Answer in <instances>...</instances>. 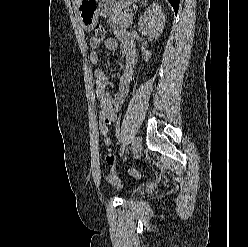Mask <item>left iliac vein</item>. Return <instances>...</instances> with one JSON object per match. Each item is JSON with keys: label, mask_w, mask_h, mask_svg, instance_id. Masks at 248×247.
Instances as JSON below:
<instances>
[{"label": "left iliac vein", "mask_w": 248, "mask_h": 247, "mask_svg": "<svg viewBox=\"0 0 248 247\" xmlns=\"http://www.w3.org/2000/svg\"><path fill=\"white\" fill-rule=\"evenodd\" d=\"M141 143H142L141 137L135 136L131 145L132 154L138 153L141 150Z\"/></svg>", "instance_id": "obj_1"}]
</instances>
